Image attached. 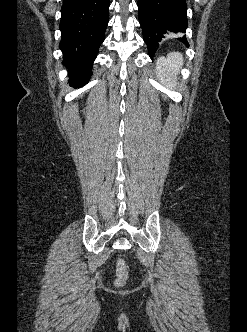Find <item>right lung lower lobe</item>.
Returning a JSON list of instances; mask_svg holds the SVG:
<instances>
[{"label": "right lung lower lobe", "instance_id": "1", "mask_svg": "<svg viewBox=\"0 0 247 332\" xmlns=\"http://www.w3.org/2000/svg\"><path fill=\"white\" fill-rule=\"evenodd\" d=\"M109 0H63L61 7L63 64L76 86L85 85L92 74V63L105 39Z\"/></svg>", "mask_w": 247, "mask_h": 332}]
</instances>
